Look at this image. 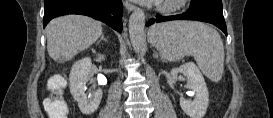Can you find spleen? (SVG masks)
<instances>
[{
    "label": "spleen",
    "instance_id": "obj_1",
    "mask_svg": "<svg viewBox=\"0 0 273 118\" xmlns=\"http://www.w3.org/2000/svg\"><path fill=\"white\" fill-rule=\"evenodd\" d=\"M150 44L164 61L175 62L187 55L211 81L221 80L224 71V46L219 33L201 22L173 21L156 24L148 33Z\"/></svg>",
    "mask_w": 273,
    "mask_h": 118
}]
</instances>
